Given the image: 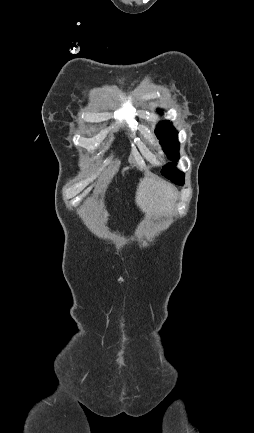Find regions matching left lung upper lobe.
Segmentation results:
<instances>
[{"label": "left lung upper lobe", "mask_w": 254, "mask_h": 433, "mask_svg": "<svg viewBox=\"0 0 254 433\" xmlns=\"http://www.w3.org/2000/svg\"><path fill=\"white\" fill-rule=\"evenodd\" d=\"M155 133L160 139L163 150L173 161V163H170L169 166L163 168L162 175H164L175 184L183 185L184 174L174 168L179 158V143L177 139V131L172 127L169 121H163L156 127Z\"/></svg>", "instance_id": "left-lung-upper-lobe-1"}]
</instances>
